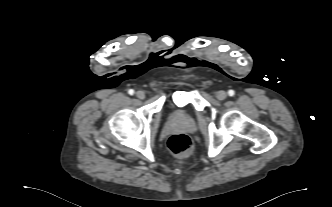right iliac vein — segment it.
<instances>
[{
	"label": "right iliac vein",
	"instance_id": "63e3f726",
	"mask_svg": "<svg viewBox=\"0 0 332 207\" xmlns=\"http://www.w3.org/2000/svg\"><path fill=\"white\" fill-rule=\"evenodd\" d=\"M136 97L139 99H144L145 98V93L141 90L136 92Z\"/></svg>",
	"mask_w": 332,
	"mask_h": 207
}]
</instances>
